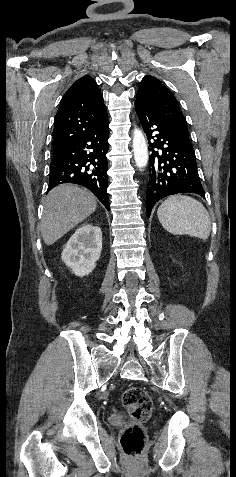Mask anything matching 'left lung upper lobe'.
Wrapping results in <instances>:
<instances>
[{
	"instance_id": "5c2ea615",
	"label": "left lung upper lobe",
	"mask_w": 236,
	"mask_h": 477,
	"mask_svg": "<svg viewBox=\"0 0 236 477\" xmlns=\"http://www.w3.org/2000/svg\"><path fill=\"white\" fill-rule=\"evenodd\" d=\"M136 101L146 105L181 139L190 143L187 122L180 112L178 102L159 79L145 76L137 91Z\"/></svg>"
}]
</instances>
